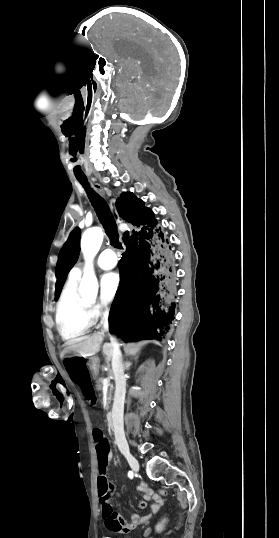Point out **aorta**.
<instances>
[{
	"mask_svg": "<svg viewBox=\"0 0 279 538\" xmlns=\"http://www.w3.org/2000/svg\"><path fill=\"white\" fill-rule=\"evenodd\" d=\"M103 242V231L99 227L86 230L81 238V250L85 259L84 274L79 286V293L84 298H95L98 293V281L94 273L93 259Z\"/></svg>",
	"mask_w": 279,
	"mask_h": 538,
	"instance_id": "obj_1",
	"label": "aorta"
}]
</instances>
